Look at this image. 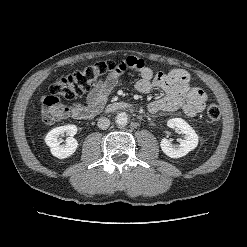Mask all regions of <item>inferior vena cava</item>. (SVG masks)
Instances as JSON below:
<instances>
[{
  "label": "inferior vena cava",
  "mask_w": 247,
  "mask_h": 247,
  "mask_svg": "<svg viewBox=\"0 0 247 247\" xmlns=\"http://www.w3.org/2000/svg\"><path fill=\"white\" fill-rule=\"evenodd\" d=\"M97 125L100 129H107L110 126V120L107 117H101L98 119Z\"/></svg>",
  "instance_id": "602c4592"
}]
</instances>
